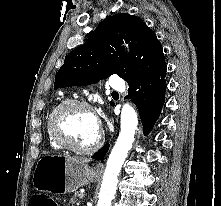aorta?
Segmentation results:
<instances>
[{"mask_svg": "<svg viewBox=\"0 0 221 206\" xmlns=\"http://www.w3.org/2000/svg\"><path fill=\"white\" fill-rule=\"evenodd\" d=\"M137 125L134 108L128 103L124 104L121 110V130L107 160L97 206H111L117 189L118 175L132 147Z\"/></svg>", "mask_w": 221, "mask_h": 206, "instance_id": "obj_1", "label": "aorta"}]
</instances>
